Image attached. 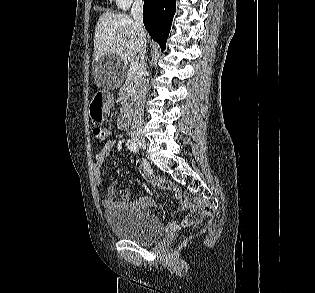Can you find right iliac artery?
<instances>
[{
    "instance_id": "obj_1",
    "label": "right iliac artery",
    "mask_w": 315,
    "mask_h": 293,
    "mask_svg": "<svg viewBox=\"0 0 315 293\" xmlns=\"http://www.w3.org/2000/svg\"><path fill=\"white\" fill-rule=\"evenodd\" d=\"M126 146L131 152L138 153V147L135 141L131 139L127 140Z\"/></svg>"
}]
</instances>
